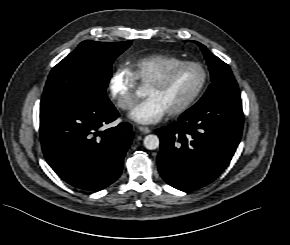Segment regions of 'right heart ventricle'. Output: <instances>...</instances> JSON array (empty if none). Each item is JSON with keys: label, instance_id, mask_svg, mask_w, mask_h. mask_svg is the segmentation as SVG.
Wrapping results in <instances>:
<instances>
[{"label": "right heart ventricle", "instance_id": "right-heart-ventricle-1", "mask_svg": "<svg viewBox=\"0 0 290 245\" xmlns=\"http://www.w3.org/2000/svg\"><path fill=\"white\" fill-rule=\"evenodd\" d=\"M182 61V59L173 55L155 54L129 62L128 70L136 81L147 84L167 67Z\"/></svg>", "mask_w": 290, "mask_h": 245}]
</instances>
